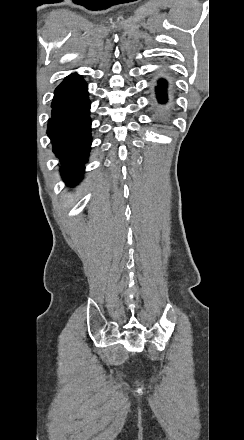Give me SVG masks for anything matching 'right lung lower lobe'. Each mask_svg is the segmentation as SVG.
Here are the masks:
<instances>
[{"label": "right lung lower lobe", "instance_id": "right-lung-lower-lobe-1", "mask_svg": "<svg viewBox=\"0 0 244 440\" xmlns=\"http://www.w3.org/2000/svg\"><path fill=\"white\" fill-rule=\"evenodd\" d=\"M90 101L81 76H68L55 90L48 135L69 184L82 178L91 146Z\"/></svg>", "mask_w": 244, "mask_h": 440}]
</instances>
